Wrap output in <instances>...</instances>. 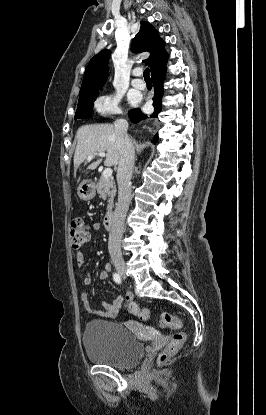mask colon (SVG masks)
<instances>
[{
	"instance_id": "colon-1",
	"label": "colon",
	"mask_w": 266,
	"mask_h": 415,
	"mask_svg": "<svg viewBox=\"0 0 266 415\" xmlns=\"http://www.w3.org/2000/svg\"><path fill=\"white\" fill-rule=\"evenodd\" d=\"M90 232L88 226L81 218H76L71 222L70 226V242L74 250L80 249L89 239ZM128 311L142 320L149 319L150 313L148 309L140 308L135 302H126ZM159 326L163 329L175 330L168 345L159 355V362L164 363L170 356L175 354L183 345L186 334L182 331L183 323L176 316L169 313H162L159 317Z\"/></svg>"
}]
</instances>
